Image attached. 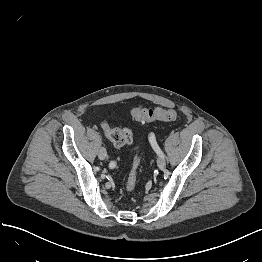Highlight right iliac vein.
I'll return each mask as SVG.
<instances>
[{
  "label": "right iliac vein",
  "instance_id": "1",
  "mask_svg": "<svg viewBox=\"0 0 262 262\" xmlns=\"http://www.w3.org/2000/svg\"><path fill=\"white\" fill-rule=\"evenodd\" d=\"M98 157L101 159V160H104L106 157H107V152H106V149L105 148H100L99 151H98Z\"/></svg>",
  "mask_w": 262,
  "mask_h": 262
}]
</instances>
